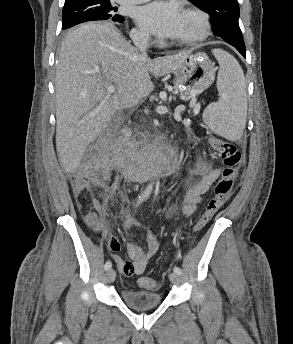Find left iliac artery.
I'll list each match as a JSON object with an SVG mask.
<instances>
[{"instance_id": "44dca946", "label": "left iliac artery", "mask_w": 293, "mask_h": 344, "mask_svg": "<svg viewBox=\"0 0 293 344\" xmlns=\"http://www.w3.org/2000/svg\"><path fill=\"white\" fill-rule=\"evenodd\" d=\"M173 271H174L175 273H177L178 275H181V274H182V270H181V268H179L178 266H175L174 269H173Z\"/></svg>"}]
</instances>
